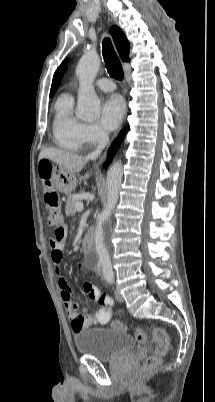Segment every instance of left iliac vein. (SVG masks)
Instances as JSON below:
<instances>
[{
    "instance_id": "4c4485c4",
    "label": "left iliac vein",
    "mask_w": 215,
    "mask_h": 402,
    "mask_svg": "<svg viewBox=\"0 0 215 402\" xmlns=\"http://www.w3.org/2000/svg\"><path fill=\"white\" fill-rule=\"evenodd\" d=\"M115 297H116L117 301H119V302L123 301V296L118 289L115 290Z\"/></svg>"
}]
</instances>
